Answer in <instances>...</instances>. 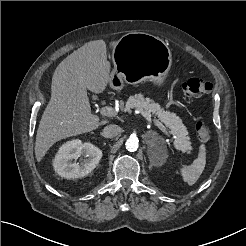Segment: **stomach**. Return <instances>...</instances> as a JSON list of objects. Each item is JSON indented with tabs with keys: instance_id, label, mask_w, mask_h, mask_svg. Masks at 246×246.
I'll list each match as a JSON object with an SVG mask.
<instances>
[{
	"instance_id": "0dacf381",
	"label": "stomach",
	"mask_w": 246,
	"mask_h": 246,
	"mask_svg": "<svg viewBox=\"0 0 246 246\" xmlns=\"http://www.w3.org/2000/svg\"><path fill=\"white\" fill-rule=\"evenodd\" d=\"M114 69L109 85L121 90L124 83L137 84L149 80L161 86L171 65L172 55L159 37L144 32H130L121 37L112 51Z\"/></svg>"
}]
</instances>
